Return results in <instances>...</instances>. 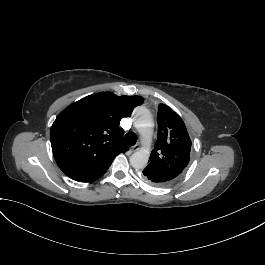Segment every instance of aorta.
<instances>
[{
	"mask_svg": "<svg viewBox=\"0 0 265 265\" xmlns=\"http://www.w3.org/2000/svg\"><path fill=\"white\" fill-rule=\"evenodd\" d=\"M134 124L140 130L145 139L144 148L139 149L130 156V164L135 169L146 167L150 156V138L153 118L150 111L143 107H137L134 110Z\"/></svg>",
	"mask_w": 265,
	"mask_h": 265,
	"instance_id": "aorta-1",
	"label": "aorta"
}]
</instances>
